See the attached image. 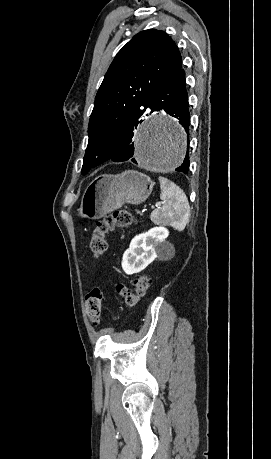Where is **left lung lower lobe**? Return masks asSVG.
<instances>
[{"label":"left lung lower lobe","instance_id":"1","mask_svg":"<svg viewBox=\"0 0 271 459\" xmlns=\"http://www.w3.org/2000/svg\"><path fill=\"white\" fill-rule=\"evenodd\" d=\"M147 105L151 113L164 110L166 113L177 118L179 123L185 128L187 134H189L190 114L188 110V94L186 91L185 72L182 68L164 79L148 94ZM141 122L142 120L140 119L133 121L124 129L119 136L118 150L107 161L122 162L133 157L134 144L132 138L134 130ZM131 161L136 163L134 158ZM189 164L190 161L188 155H186L182 165L175 170L186 174L189 170Z\"/></svg>","mask_w":271,"mask_h":459}]
</instances>
